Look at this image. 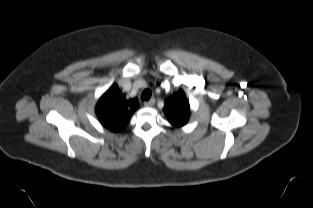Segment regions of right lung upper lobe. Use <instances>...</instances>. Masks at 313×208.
<instances>
[{
  "label": "right lung upper lobe",
  "instance_id": "cb5924a9",
  "mask_svg": "<svg viewBox=\"0 0 313 208\" xmlns=\"http://www.w3.org/2000/svg\"><path fill=\"white\" fill-rule=\"evenodd\" d=\"M138 109L137 99H126L117 85H112L99 99L96 115L100 123L112 132L125 128L132 113Z\"/></svg>",
  "mask_w": 313,
  "mask_h": 208
}]
</instances>
